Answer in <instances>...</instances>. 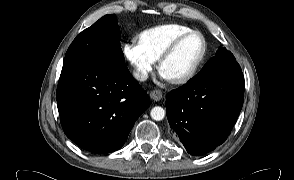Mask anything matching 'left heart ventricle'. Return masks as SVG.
<instances>
[{"label": "left heart ventricle", "mask_w": 294, "mask_h": 180, "mask_svg": "<svg viewBox=\"0 0 294 180\" xmlns=\"http://www.w3.org/2000/svg\"><path fill=\"white\" fill-rule=\"evenodd\" d=\"M202 47V40L198 35L190 36L180 44L173 55L163 64L161 71L170 80L184 76L199 58Z\"/></svg>", "instance_id": "1"}]
</instances>
